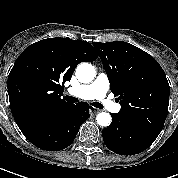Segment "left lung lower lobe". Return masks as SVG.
<instances>
[{"mask_svg":"<svg viewBox=\"0 0 178 178\" xmlns=\"http://www.w3.org/2000/svg\"><path fill=\"white\" fill-rule=\"evenodd\" d=\"M112 123L102 131L105 145L120 155H134L146 150L157 138L147 128L134 124L118 114H111Z\"/></svg>","mask_w":178,"mask_h":178,"instance_id":"left-lung-lower-lobe-1","label":"left lung lower lobe"}]
</instances>
